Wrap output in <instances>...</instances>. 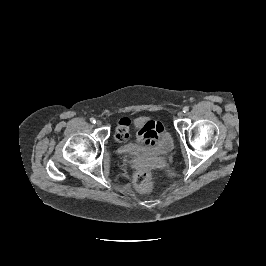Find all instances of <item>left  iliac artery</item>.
<instances>
[{
    "instance_id": "1",
    "label": "left iliac artery",
    "mask_w": 266,
    "mask_h": 266,
    "mask_svg": "<svg viewBox=\"0 0 266 266\" xmlns=\"http://www.w3.org/2000/svg\"><path fill=\"white\" fill-rule=\"evenodd\" d=\"M188 111H189V107H188V106H185V107L183 108V112L186 113V112H188Z\"/></svg>"
}]
</instances>
